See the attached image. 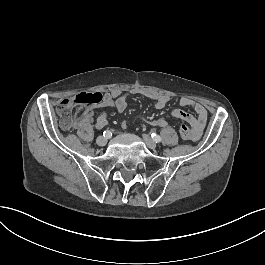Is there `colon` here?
<instances>
[{
    "mask_svg": "<svg viewBox=\"0 0 265 265\" xmlns=\"http://www.w3.org/2000/svg\"><path fill=\"white\" fill-rule=\"evenodd\" d=\"M102 100V97L100 93L96 91H89L87 93L85 92H78L70 97H68L66 104L68 106L64 107L61 105L59 108L60 111V125L62 127L68 128L73 125L74 117L77 114V111L75 109L79 107H85L87 105L89 106H96L100 104ZM70 108V109H69ZM180 136L183 140L188 141L191 140L190 133L188 131H185L182 126H180L179 130Z\"/></svg>",
    "mask_w": 265,
    "mask_h": 265,
    "instance_id": "1",
    "label": "colon"
}]
</instances>
